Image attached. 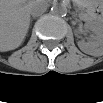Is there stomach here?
<instances>
[{"instance_id":"1","label":"stomach","mask_w":103,"mask_h":103,"mask_svg":"<svg viewBox=\"0 0 103 103\" xmlns=\"http://www.w3.org/2000/svg\"><path fill=\"white\" fill-rule=\"evenodd\" d=\"M78 4L82 7L92 8L93 4L90 1L87 0H81L78 2Z\"/></svg>"}]
</instances>
